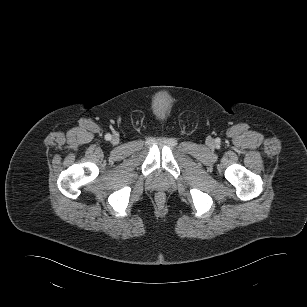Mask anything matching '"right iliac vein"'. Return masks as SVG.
Instances as JSON below:
<instances>
[{"label": "right iliac vein", "instance_id": "1", "mask_svg": "<svg viewBox=\"0 0 307 307\" xmlns=\"http://www.w3.org/2000/svg\"><path fill=\"white\" fill-rule=\"evenodd\" d=\"M112 141H113V143H117L118 142L117 138H113Z\"/></svg>", "mask_w": 307, "mask_h": 307}]
</instances>
